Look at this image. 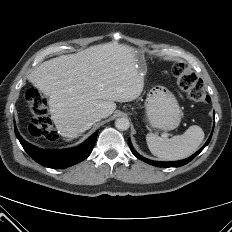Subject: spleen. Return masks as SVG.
Wrapping results in <instances>:
<instances>
[{"mask_svg":"<svg viewBox=\"0 0 232 232\" xmlns=\"http://www.w3.org/2000/svg\"><path fill=\"white\" fill-rule=\"evenodd\" d=\"M204 132L197 125L190 126L182 135L170 139L148 133L146 141L150 152L160 159L175 161L193 154L204 139Z\"/></svg>","mask_w":232,"mask_h":232,"instance_id":"obj_1","label":"spleen"}]
</instances>
